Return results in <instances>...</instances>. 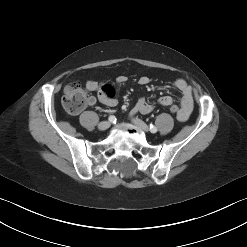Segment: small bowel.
<instances>
[{
  "label": "small bowel",
  "instance_id": "small-bowel-1",
  "mask_svg": "<svg viewBox=\"0 0 247 247\" xmlns=\"http://www.w3.org/2000/svg\"><path fill=\"white\" fill-rule=\"evenodd\" d=\"M127 81L126 76H119L117 78L118 83H125ZM150 82V79L146 76H142L139 78V84L146 85ZM174 87L180 92L181 99L179 105V113L177 115V119L181 122L186 121L192 110L194 105L192 88L191 86L182 78H178L174 81ZM87 90L94 92L96 95H92L88 97L87 105L92 106L97 102H100L103 105L113 107L117 104V100L115 97V90L113 86L110 84L99 83L95 80H88L86 82ZM161 106H170L173 103V98L168 95H164L158 100ZM153 110V105L147 102L143 97L139 98L133 107L131 113H141L148 114Z\"/></svg>",
  "mask_w": 247,
  "mask_h": 247
}]
</instances>
